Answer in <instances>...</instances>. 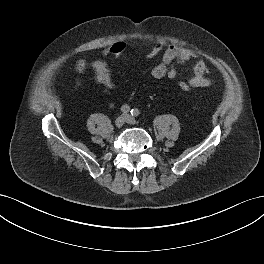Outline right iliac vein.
Returning <instances> with one entry per match:
<instances>
[{
    "label": "right iliac vein",
    "instance_id": "1",
    "mask_svg": "<svg viewBox=\"0 0 264 264\" xmlns=\"http://www.w3.org/2000/svg\"><path fill=\"white\" fill-rule=\"evenodd\" d=\"M124 122H125V116L121 115L115 120V125L117 127H121L124 124Z\"/></svg>",
    "mask_w": 264,
    "mask_h": 264
}]
</instances>
